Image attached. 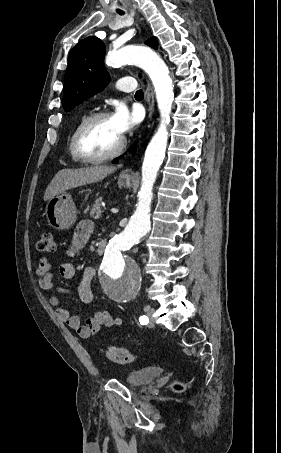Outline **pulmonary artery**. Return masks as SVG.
Returning a JSON list of instances; mask_svg holds the SVG:
<instances>
[{"instance_id": "e3ab8cb5", "label": "pulmonary artery", "mask_w": 281, "mask_h": 453, "mask_svg": "<svg viewBox=\"0 0 281 453\" xmlns=\"http://www.w3.org/2000/svg\"><path fill=\"white\" fill-rule=\"evenodd\" d=\"M133 78L132 77H124V78H121L117 81V87L118 89L122 90V91H129V88L125 85V81L127 80H132Z\"/></svg>"}]
</instances>
